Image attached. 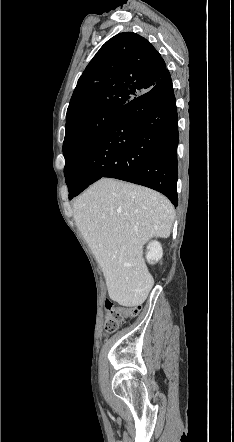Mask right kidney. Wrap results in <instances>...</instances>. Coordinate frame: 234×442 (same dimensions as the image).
I'll return each instance as SVG.
<instances>
[{
	"label": "right kidney",
	"instance_id": "obj_1",
	"mask_svg": "<svg viewBox=\"0 0 234 442\" xmlns=\"http://www.w3.org/2000/svg\"><path fill=\"white\" fill-rule=\"evenodd\" d=\"M163 255L162 246L158 241H152L147 246L146 258L149 263L158 262Z\"/></svg>",
	"mask_w": 234,
	"mask_h": 442
}]
</instances>
